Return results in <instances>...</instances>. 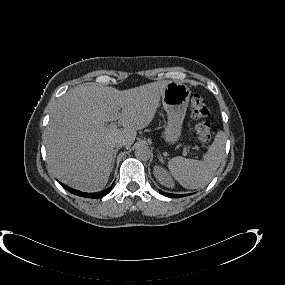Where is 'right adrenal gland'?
<instances>
[{"label":"right adrenal gland","instance_id":"1","mask_svg":"<svg viewBox=\"0 0 285 285\" xmlns=\"http://www.w3.org/2000/svg\"><path fill=\"white\" fill-rule=\"evenodd\" d=\"M120 149V147H118V148H116L115 150H114V154H113V159H112V166H111V170L113 169V167H114V164H115V159H116V155H117V152H118V150Z\"/></svg>","mask_w":285,"mask_h":285}]
</instances>
